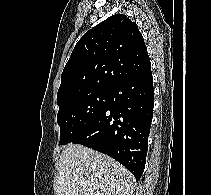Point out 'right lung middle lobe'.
Listing matches in <instances>:
<instances>
[{
  "mask_svg": "<svg viewBox=\"0 0 211 195\" xmlns=\"http://www.w3.org/2000/svg\"><path fill=\"white\" fill-rule=\"evenodd\" d=\"M110 98V89H93L76 94L58 104L59 144L73 143L102 114Z\"/></svg>",
  "mask_w": 211,
  "mask_h": 195,
  "instance_id": "right-lung-middle-lobe-1",
  "label": "right lung middle lobe"
}]
</instances>
